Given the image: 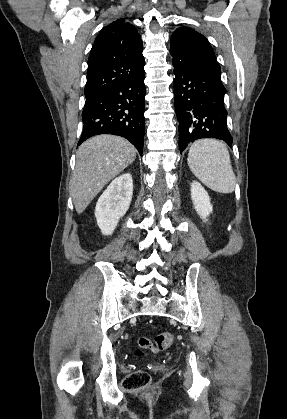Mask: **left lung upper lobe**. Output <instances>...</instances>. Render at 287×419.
I'll list each match as a JSON object with an SVG mask.
<instances>
[{
  "mask_svg": "<svg viewBox=\"0 0 287 419\" xmlns=\"http://www.w3.org/2000/svg\"><path fill=\"white\" fill-rule=\"evenodd\" d=\"M170 54L174 67L187 71L221 72L208 40L191 28L181 27L173 33Z\"/></svg>",
  "mask_w": 287,
  "mask_h": 419,
  "instance_id": "left-lung-upper-lobe-1",
  "label": "left lung upper lobe"
}]
</instances>
